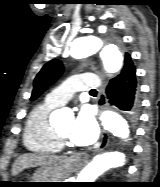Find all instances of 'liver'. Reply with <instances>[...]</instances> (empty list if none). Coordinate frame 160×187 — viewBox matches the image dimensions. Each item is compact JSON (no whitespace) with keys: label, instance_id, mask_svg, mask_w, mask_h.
I'll list each match as a JSON object with an SVG mask.
<instances>
[{"label":"liver","instance_id":"obj_1","mask_svg":"<svg viewBox=\"0 0 160 187\" xmlns=\"http://www.w3.org/2000/svg\"><path fill=\"white\" fill-rule=\"evenodd\" d=\"M63 160L62 156H48L39 154H24L21 155L13 164L12 175L16 176L18 173L26 168L37 166H51Z\"/></svg>","mask_w":160,"mask_h":187}]
</instances>
